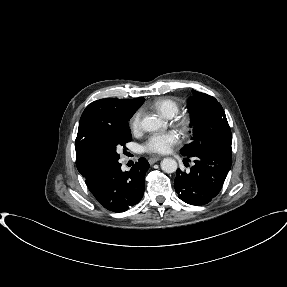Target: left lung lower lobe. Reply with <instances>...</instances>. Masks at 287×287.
Here are the masks:
<instances>
[{"mask_svg": "<svg viewBox=\"0 0 287 287\" xmlns=\"http://www.w3.org/2000/svg\"><path fill=\"white\" fill-rule=\"evenodd\" d=\"M192 157L195 165L190 172L177 170L175 190L184 202L204 205L220 192L232 164V149L231 146H219Z\"/></svg>", "mask_w": 287, "mask_h": 287, "instance_id": "1", "label": "left lung lower lobe"}]
</instances>
